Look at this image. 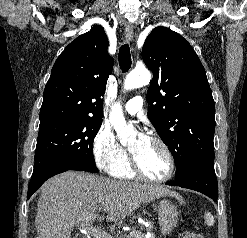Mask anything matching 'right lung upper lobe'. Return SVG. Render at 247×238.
<instances>
[{
	"label": "right lung upper lobe",
	"mask_w": 247,
	"mask_h": 238,
	"mask_svg": "<svg viewBox=\"0 0 247 238\" xmlns=\"http://www.w3.org/2000/svg\"><path fill=\"white\" fill-rule=\"evenodd\" d=\"M104 29L95 25L71 42L55 61L40 109V125L56 121L102 119L113 58Z\"/></svg>",
	"instance_id": "obj_1"
}]
</instances>
